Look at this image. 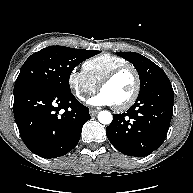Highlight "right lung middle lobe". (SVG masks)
Wrapping results in <instances>:
<instances>
[{
  "mask_svg": "<svg viewBox=\"0 0 193 193\" xmlns=\"http://www.w3.org/2000/svg\"><path fill=\"white\" fill-rule=\"evenodd\" d=\"M100 51L49 46L32 54L23 64L14 93L32 86H49L71 92L69 78L81 62Z\"/></svg>",
  "mask_w": 193,
  "mask_h": 193,
  "instance_id": "dd1d6c3e",
  "label": "right lung middle lobe"
}]
</instances>
